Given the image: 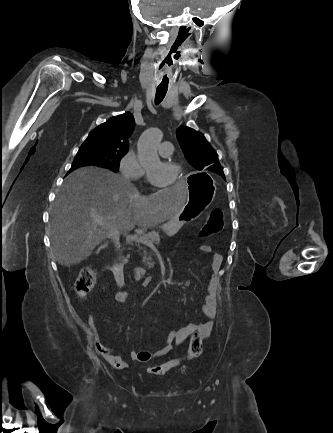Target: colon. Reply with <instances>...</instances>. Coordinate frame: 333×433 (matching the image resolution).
<instances>
[{"label": "colon", "instance_id": "obj_1", "mask_svg": "<svg viewBox=\"0 0 333 433\" xmlns=\"http://www.w3.org/2000/svg\"><path fill=\"white\" fill-rule=\"evenodd\" d=\"M224 225V215L221 209L215 208L210 211L207 222L200 232V237L207 238L219 233ZM97 283V273L91 267L83 268L78 274L74 287L78 295L83 296L90 292ZM202 353V337L195 333L191 336L188 352L185 359L192 360ZM179 359H171L165 363L150 366L147 372L153 375H164L172 367L179 363Z\"/></svg>", "mask_w": 333, "mask_h": 433}]
</instances>
